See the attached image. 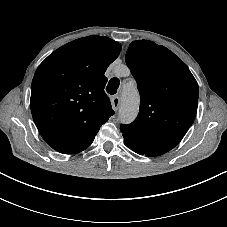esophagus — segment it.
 <instances>
[{"label": "esophagus", "mask_w": 227, "mask_h": 227, "mask_svg": "<svg viewBox=\"0 0 227 227\" xmlns=\"http://www.w3.org/2000/svg\"><path fill=\"white\" fill-rule=\"evenodd\" d=\"M111 104H112L113 110L117 111L119 109V106H120V98H119V96H114L111 99Z\"/></svg>", "instance_id": "obj_1"}]
</instances>
